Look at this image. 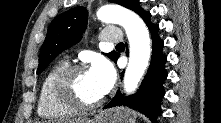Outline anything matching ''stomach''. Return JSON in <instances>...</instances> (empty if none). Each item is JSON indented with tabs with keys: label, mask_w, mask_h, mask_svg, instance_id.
<instances>
[{
	"label": "stomach",
	"mask_w": 221,
	"mask_h": 123,
	"mask_svg": "<svg viewBox=\"0 0 221 123\" xmlns=\"http://www.w3.org/2000/svg\"><path fill=\"white\" fill-rule=\"evenodd\" d=\"M83 123H135V117L128 108L117 107L100 111L92 120H84Z\"/></svg>",
	"instance_id": "0dacf381"
}]
</instances>
